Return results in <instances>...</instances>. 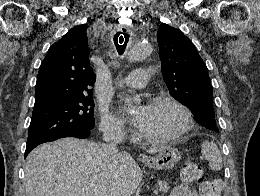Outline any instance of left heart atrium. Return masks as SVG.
Returning <instances> with one entry per match:
<instances>
[{
    "mask_svg": "<svg viewBox=\"0 0 260 196\" xmlns=\"http://www.w3.org/2000/svg\"><path fill=\"white\" fill-rule=\"evenodd\" d=\"M148 114V106H142L131 118L133 125L142 130L146 123V118ZM92 192H118V190H93Z\"/></svg>",
    "mask_w": 260,
    "mask_h": 196,
    "instance_id": "39dd6f15",
    "label": "left heart atrium"
}]
</instances>
